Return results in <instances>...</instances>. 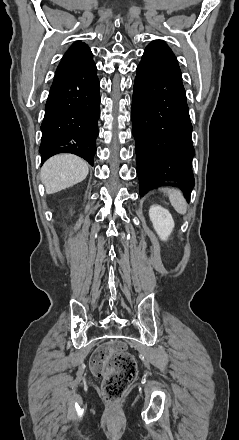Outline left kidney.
Segmentation results:
<instances>
[{
    "instance_id": "5707ae66",
    "label": "left kidney",
    "mask_w": 239,
    "mask_h": 440,
    "mask_svg": "<svg viewBox=\"0 0 239 440\" xmlns=\"http://www.w3.org/2000/svg\"><path fill=\"white\" fill-rule=\"evenodd\" d=\"M149 216L159 238L167 240L174 228V220L170 212L154 204L149 210Z\"/></svg>"
}]
</instances>
